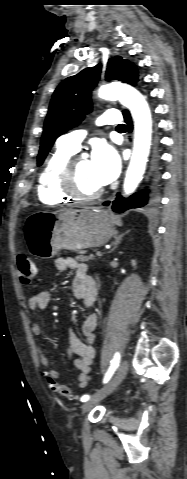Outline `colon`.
Segmentation results:
<instances>
[{"label":"colon","instance_id":"obj_1","mask_svg":"<svg viewBox=\"0 0 187 479\" xmlns=\"http://www.w3.org/2000/svg\"><path fill=\"white\" fill-rule=\"evenodd\" d=\"M16 263H17V268H18V273H19V278L20 281L23 285H29L36 273L35 265L33 261L29 258L28 255L24 253H20L16 257ZM48 382L52 388V390L59 395L69 399L73 400L75 399V395L70 389V387L58 383L56 380L52 378H48Z\"/></svg>","mask_w":187,"mask_h":479}]
</instances>
